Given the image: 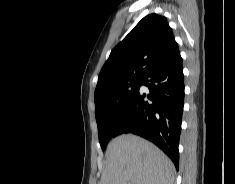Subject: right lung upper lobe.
I'll list each match as a JSON object with an SVG mask.
<instances>
[{"instance_id":"cb5924a9","label":"right lung upper lobe","mask_w":235,"mask_h":184,"mask_svg":"<svg viewBox=\"0 0 235 184\" xmlns=\"http://www.w3.org/2000/svg\"><path fill=\"white\" fill-rule=\"evenodd\" d=\"M178 51L167 19L157 14L144 17L110 53L98 77L95 106L109 103L111 88L143 80L159 63Z\"/></svg>"}]
</instances>
